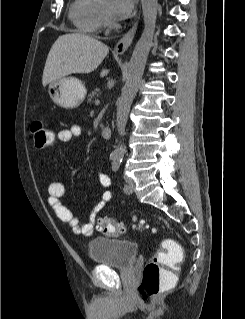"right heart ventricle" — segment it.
Instances as JSON below:
<instances>
[{
    "instance_id": "e07e8e85",
    "label": "right heart ventricle",
    "mask_w": 245,
    "mask_h": 319,
    "mask_svg": "<svg viewBox=\"0 0 245 319\" xmlns=\"http://www.w3.org/2000/svg\"><path fill=\"white\" fill-rule=\"evenodd\" d=\"M69 17L79 31L97 34L104 22L102 3L100 0H73Z\"/></svg>"
}]
</instances>
